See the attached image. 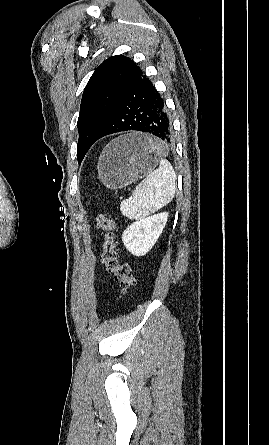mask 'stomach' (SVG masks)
Instances as JSON below:
<instances>
[{"label": "stomach", "instance_id": "stomach-1", "mask_svg": "<svg viewBox=\"0 0 269 445\" xmlns=\"http://www.w3.org/2000/svg\"><path fill=\"white\" fill-rule=\"evenodd\" d=\"M164 146L157 139L133 133L109 143L98 161V176L110 189L123 188L151 172Z\"/></svg>", "mask_w": 269, "mask_h": 445}]
</instances>
